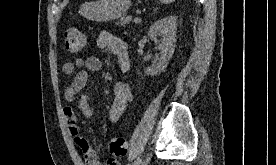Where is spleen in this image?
<instances>
[{"mask_svg": "<svg viewBox=\"0 0 276 165\" xmlns=\"http://www.w3.org/2000/svg\"><path fill=\"white\" fill-rule=\"evenodd\" d=\"M175 0H160L161 3L163 4H170L172 2H174Z\"/></svg>", "mask_w": 276, "mask_h": 165, "instance_id": "spleen-1", "label": "spleen"}]
</instances>
